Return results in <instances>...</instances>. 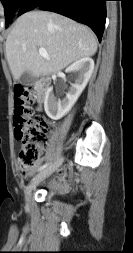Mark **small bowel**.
<instances>
[{
    "label": "small bowel",
    "mask_w": 133,
    "mask_h": 253,
    "mask_svg": "<svg viewBox=\"0 0 133 253\" xmlns=\"http://www.w3.org/2000/svg\"><path fill=\"white\" fill-rule=\"evenodd\" d=\"M44 161V158L40 159L38 163L27 170L23 171L24 177H29L36 172L41 166V163ZM72 182V175L68 170L62 169L59 171V174L56 178L51 179V184L61 190H64L69 187Z\"/></svg>",
    "instance_id": "c3829d8e"
}]
</instances>
